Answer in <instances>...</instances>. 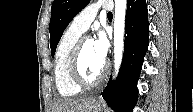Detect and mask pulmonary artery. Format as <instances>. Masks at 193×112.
<instances>
[{
	"mask_svg": "<svg viewBox=\"0 0 193 112\" xmlns=\"http://www.w3.org/2000/svg\"><path fill=\"white\" fill-rule=\"evenodd\" d=\"M100 8L111 11L113 9V4L109 1H98L91 3L86 8H84L77 16L74 17L70 24V27L80 33L85 32L95 19Z\"/></svg>",
	"mask_w": 193,
	"mask_h": 112,
	"instance_id": "obj_1",
	"label": "pulmonary artery"
}]
</instances>
